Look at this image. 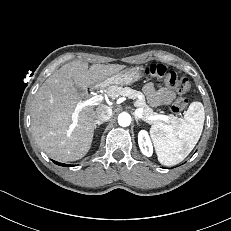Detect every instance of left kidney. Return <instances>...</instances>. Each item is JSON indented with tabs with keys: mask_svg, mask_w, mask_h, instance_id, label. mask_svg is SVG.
I'll return each instance as SVG.
<instances>
[{
	"mask_svg": "<svg viewBox=\"0 0 231 231\" xmlns=\"http://www.w3.org/2000/svg\"><path fill=\"white\" fill-rule=\"evenodd\" d=\"M138 144L140 147L141 152L147 156L150 157L153 154V146L150 140V137L148 135V132L145 130H141L138 134Z\"/></svg>",
	"mask_w": 231,
	"mask_h": 231,
	"instance_id": "5707ae66",
	"label": "left kidney"
}]
</instances>
